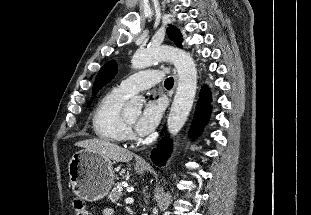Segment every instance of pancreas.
<instances>
[{"label": "pancreas", "instance_id": "cf45deb5", "mask_svg": "<svg viewBox=\"0 0 311 215\" xmlns=\"http://www.w3.org/2000/svg\"><path fill=\"white\" fill-rule=\"evenodd\" d=\"M122 184H117L116 187L112 189V191L109 193L108 198L113 202L117 203L118 200H121V197L123 196L122 193Z\"/></svg>", "mask_w": 311, "mask_h": 215}]
</instances>
